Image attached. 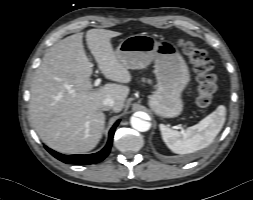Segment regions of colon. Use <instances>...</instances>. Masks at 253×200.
Listing matches in <instances>:
<instances>
[{"label": "colon", "mask_w": 253, "mask_h": 200, "mask_svg": "<svg viewBox=\"0 0 253 200\" xmlns=\"http://www.w3.org/2000/svg\"><path fill=\"white\" fill-rule=\"evenodd\" d=\"M179 46L197 73V104L203 108L208 107L213 102L217 90L216 77L212 73L213 62L203 48L192 42L180 40Z\"/></svg>", "instance_id": "colon-1"}]
</instances>
